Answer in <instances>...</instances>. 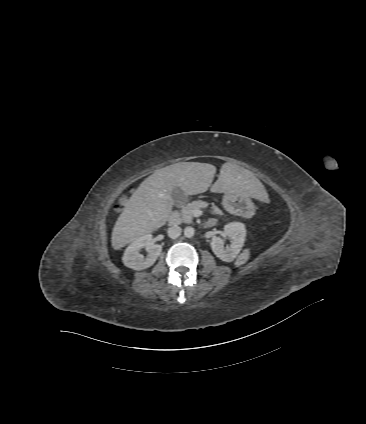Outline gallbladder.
I'll return each mask as SVG.
<instances>
[{
  "instance_id": "bac80fb5",
  "label": "gallbladder",
  "mask_w": 366,
  "mask_h": 424,
  "mask_svg": "<svg viewBox=\"0 0 366 424\" xmlns=\"http://www.w3.org/2000/svg\"><path fill=\"white\" fill-rule=\"evenodd\" d=\"M172 199L174 201V205H179L180 201H182V199L184 198V192L181 190L180 187H176L174 188V190L172 191Z\"/></svg>"
}]
</instances>
